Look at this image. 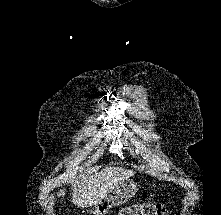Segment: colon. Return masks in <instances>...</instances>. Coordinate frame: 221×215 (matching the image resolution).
<instances>
[{
	"mask_svg": "<svg viewBox=\"0 0 221 215\" xmlns=\"http://www.w3.org/2000/svg\"><path fill=\"white\" fill-rule=\"evenodd\" d=\"M170 210L161 204H132L122 207L116 215H169Z\"/></svg>",
	"mask_w": 221,
	"mask_h": 215,
	"instance_id": "colon-1",
	"label": "colon"
}]
</instances>
